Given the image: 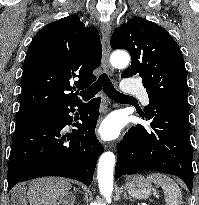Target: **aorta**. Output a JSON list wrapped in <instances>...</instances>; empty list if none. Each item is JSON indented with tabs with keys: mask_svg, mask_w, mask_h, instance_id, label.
<instances>
[{
	"mask_svg": "<svg viewBox=\"0 0 199 205\" xmlns=\"http://www.w3.org/2000/svg\"><path fill=\"white\" fill-rule=\"evenodd\" d=\"M130 56L125 51H115L111 55L110 62L116 68H125L128 66ZM115 164V155L112 152H105L101 155L98 163L97 179L99 190L103 197L110 203L113 192V168Z\"/></svg>",
	"mask_w": 199,
	"mask_h": 205,
	"instance_id": "762f6f07",
	"label": "aorta"
}]
</instances>
